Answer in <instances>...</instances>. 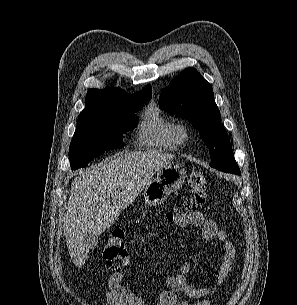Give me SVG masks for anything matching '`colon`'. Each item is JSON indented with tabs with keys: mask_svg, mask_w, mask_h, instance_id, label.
<instances>
[{
	"mask_svg": "<svg viewBox=\"0 0 297 305\" xmlns=\"http://www.w3.org/2000/svg\"><path fill=\"white\" fill-rule=\"evenodd\" d=\"M191 188L190 197L183 203L185 210L193 211L202 206L207 199V182L204 172L197 168L189 176ZM174 219L173 214H168L166 222L170 223ZM129 254L122 232H115L107 239L103 249V261L107 268L117 270L125 267L129 262Z\"/></svg>",
	"mask_w": 297,
	"mask_h": 305,
	"instance_id": "obj_1",
	"label": "colon"
}]
</instances>
